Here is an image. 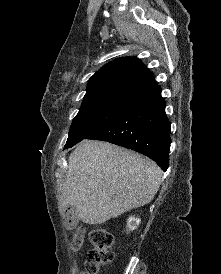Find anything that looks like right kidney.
<instances>
[{"label":"right kidney","mask_w":221,"mask_h":274,"mask_svg":"<svg viewBox=\"0 0 221 274\" xmlns=\"http://www.w3.org/2000/svg\"><path fill=\"white\" fill-rule=\"evenodd\" d=\"M141 220L139 218H135V217H129L128 221H127V227L130 231L135 230L139 224H140Z\"/></svg>","instance_id":"1"}]
</instances>
